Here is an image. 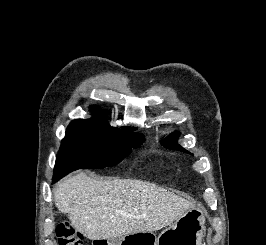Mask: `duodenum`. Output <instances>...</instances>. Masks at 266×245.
Instances as JSON below:
<instances>
[{
	"label": "duodenum",
	"instance_id": "obj_1",
	"mask_svg": "<svg viewBox=\"0 0 266 245\" xmlns=\"http://www.w3.org/2000/svg\"><path fill=\"white\" fill-rule=\"evenodd\" d=\"M94 245H109V237H94Z\"/></svg>",
	"mask_w": 266,
	"mask_h": 245
}]
</instances>
